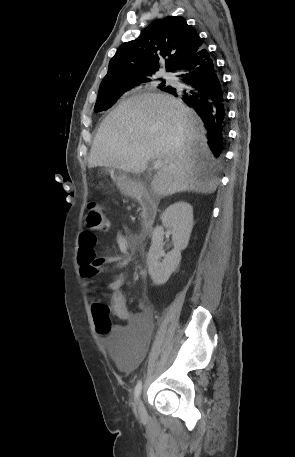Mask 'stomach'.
Listing matches in <instances>:
<instances>
[{"label":"stomach","mask_w":295,"mask_h":457,"mask_svg":"<svg viewBox=\"0 0 295 457\" xmlns=\"http://www.w3.org/2000/svg\"><path fill=\"white\" fill-rule=\"evenodd\" d=\"M109 174L122 193L130 194L133 192L134 184L128 179L124 171L110 169Z\"/></svg>","instance_id":"stomach-1"}]
</instances>
